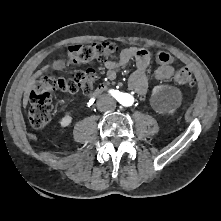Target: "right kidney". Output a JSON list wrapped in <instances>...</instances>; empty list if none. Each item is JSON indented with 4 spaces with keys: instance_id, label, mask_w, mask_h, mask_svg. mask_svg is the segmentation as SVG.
<instances>
[{
    "instance_id": "1",
    "label": "right kidney",
    "mask_w": 221,
    "mask_h": 221,
    "mask_svg": "<svg viewBox=\"0 0 221 221\" xmlns=\"http://www.w3.org/2000/svg\"><path fill=\"white\" fill-rule=\"evenodd\" d=\"M71 122H72V117L70 115H66L61 119L60 125L62 127H67L70 125Z\"/></svg>"
}]
</instances>
